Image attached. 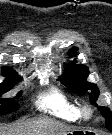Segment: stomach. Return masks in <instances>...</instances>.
<instances>
[{
  "instance_id": "0dacf381",
  "label": "stomach",
  "mask_w": 112,
  "mask_h": 135,
  "mask_svg": "<svg viewBox=\"0 0 112 135\" xmlns=\"http://www.w3.org/2000/svg\"><path fill=\"white\" fill-rule=\"evenodd\" d=\"M68 134H73V135H93L95 134L94 132L90 130H78V129H73L71 132Z\"/></svg>"
}]
</instances>
